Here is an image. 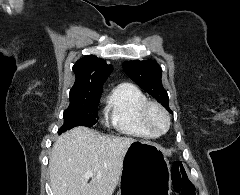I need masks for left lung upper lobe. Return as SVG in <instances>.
Segmentation results:
<instances>
[{
    "label": "left lung upper lobe",
    "mask_w": 240,
    "mask_h": 195,
    "mask_svg": "<svg viewBox=\"0 0 240 195\" xmlns=\"http://www.w3.org/2000/svg\"><path fill=\"white\" fill-rule=\"evenodd\" d=\"M123 69L126 74L135 81L143 90L153 96L169 112V97L161 81L162 70L153 60L125 61Z\"/></svg>",
    "instance_id": "left-lung-upper-lobe-1"
}]
</instances>
